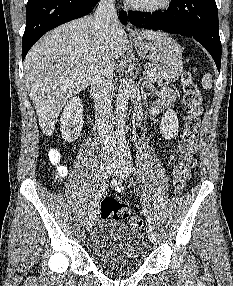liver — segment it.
Returning <instances> with one entry per match:
<instances>
[{
  "label": "liver",
  "mask_w": 233,
  "mask_h": 286,
  "mask_svg": "<svg viewBox=\"0 0 233 286\" xmlns=\"http://www.w3.org/2000/svg\"><path fill=\"white\" fill-rule=\"evenodd\" d=\"M94 23V16H86L55 28L32 47L24 60L25 86L46 136L52 135L68 99L91 83L103 48L113 59L125 53L127 38L118 22L109 24L106 36ZM140 34L148 40L162 35L154 31Z\"/></svg>",
  "instance_id": "liver-1"
}]
</instances>
